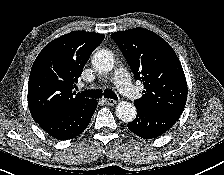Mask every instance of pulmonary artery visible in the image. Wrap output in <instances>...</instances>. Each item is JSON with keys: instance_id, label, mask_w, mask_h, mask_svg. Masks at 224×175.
Listing matches in <instances>:
<instances>
[{"instance_id": "1", "label": "pulmonary artery", "mask_w": 224, "mask_h": 175, "mask_svg": "<svg viewBox=\"0 0 224 175\" xmlns=\"http://www.w3.org/2000/svg\"><path fill=\"white\" fill-rule=\"evenodd\" d=\"M113 82L119 91L130 99H137L140 96L139 90L131 83L127 72L123 68L115 70Z\"/></svg>"}]
</instances>
